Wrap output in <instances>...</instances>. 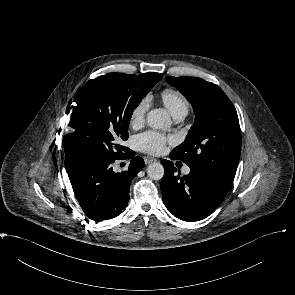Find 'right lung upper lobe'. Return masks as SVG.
<instances>
[{
  "label": "right lung upper lobe",
  "mask_w": 295,
  "mask_h": 295,
  "mask_svg": "<svg viewBox=\"0 0 295 295\" xmlns=\"http://www.w3.org/2000/svg\"><path fill=\"white\" fill-rule=\"evenodd\" d=\"M156 77H157V79H159V80H161V78H162V76L161 75H158V74H155V73H153ZM158 80V81H159ZM69 168H66V170H68Z\"/></svg>",
  "instance_id": "obj_1"
}]
</instances>
